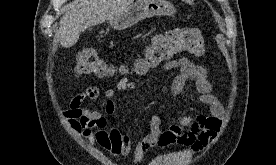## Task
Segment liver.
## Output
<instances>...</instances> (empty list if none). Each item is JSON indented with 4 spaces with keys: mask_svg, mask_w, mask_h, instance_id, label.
<instances>
[{
    "mask_svg": "<svg viewBox=\"0 0 276 165\" xmlns=\"http://www.w3.org/2000/svg\"><path fill=\"white\" fill-rule=\"evenodd\" d=\"M134 0H83L61 19L59 41L64 48L72 47L80 33L89 27L110 21L125 11Z\"/></svg>",
    "mask_w": 276,
    "mask_h": 165,
    "instance_id": "6515ba94",
    "label": "liver"
}]
</instances>
